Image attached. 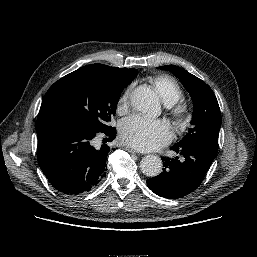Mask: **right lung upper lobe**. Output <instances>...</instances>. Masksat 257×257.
I'll return each mask as SVG.
<instances>
[{
    "label": "right lung upper lobe",
    "instance_id": "obj_1",
    "mask_svg": "<svg viewBox=\"0 0 257 257\" xmlns=\"http://www.w3.org/2000/svg\"><path fill=\"white\" fill-rule=\"evenodd\" d=\"M85 68L86 67H99L109 73H117L119 72L122 68H117V67H110V66H107V65H103V64H92V65H87V66H84ZM47 126H45L44 124L40 123V121L37 119V122H36V132H37V135L40 134Z\"/></svg>",
    "mask_w": 257,
    "mask_h": 257
}]
</instances>
